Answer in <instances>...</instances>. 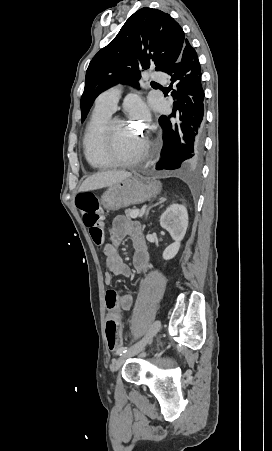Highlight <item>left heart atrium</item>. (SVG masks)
Returning a JSON list of instances; mask_svg holds the SVG:
<instances>
[{
  "label": "left heart atrium",
  "mask_w": 272,
  "mask_h": 451,
  "mask_svg": "<svg viewBox=\"0 0 272 451\" xmlns=\"http://www.w3.org/2000/svg\"><path fill=\"white\" fill-rule=\"evenodd\" d=\"M129 111L135 119L140 122H148L149 114L146 106L143 103H137L129 107Z\"/></svg>",
  "instance_id": "left-heart-atrium-1"
}]
</instances>
